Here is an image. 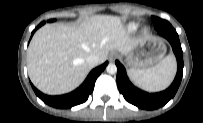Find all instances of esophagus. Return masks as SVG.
<instances>
[{"label": "esophagus", "mask_w": 203, "mask_h": 123, "mask_svg": "<svg viewBox=\"0 0 203 123\" xmlns=\"http://www.w3.org/2000/svg\"><path fill=\"white\" fill-rule=\"evenodd\" d=\"M115 57H116V54H112V55L110 56V60H111V61L114 60Z\"/></svg>", "instance_id": "34e87169"}]
</instances>
